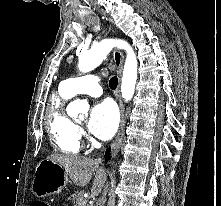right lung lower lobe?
<instances>
[{
	"instance_id": "right-lung-lower-lobe-1",
	"label": "right lung lower lobe",
	"mask_w": 221,
	"mask_h": 206,
	"mask_svg": "<svg viewBox=\"0 0 221 206\" xmlns=\"http://www.w3.org/2000/svg\"><path fill=\"white\" fill-rule=\"evenodd\" d=\"M105 158H107V159L110 158V149H107Z\"/></svg>"
}]
</instances>
